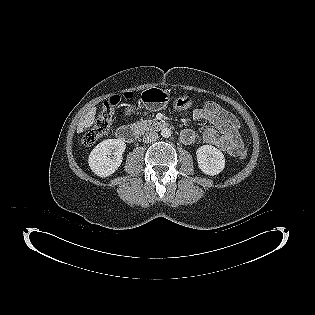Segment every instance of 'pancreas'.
Listing matches in <instances>:
<instances>
[{
	"label": "pancreas",
	"instance_id": "1",
	"mask_svg": "<svg viewBox=\"0 0 315 315\" xmlns=\"http://www.w3.org/2000/svg\"><path fill=\"white\" fill-rule=\"evenodd\" d=\"M140 127L142 129H145L146 128V122L145 121L140 122Z\"/></svg>",
	"mask_w": 315,
	"mask_h": 315
}]
</instances>
